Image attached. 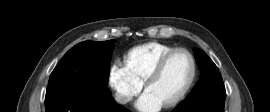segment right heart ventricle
Instances as JSON below:
<instances>
[{
    "label": "right heart ventricle",
    "mask_w": 270,
    "mask_h": 112,
    "mask_svg": "<svg viewBox=\"0 0 270 112\" xmlns=\"http://www.w3.org/2000/svg\"><path fill=\"white\" fill-rule=\"evenodd\" d=\"M175 48L172 45L148 42L135 46L124 55V64L133 77L143 84L157 61Z\"/></svg>",
    "instance_id": "e07e8e85"
}]
</instances>
